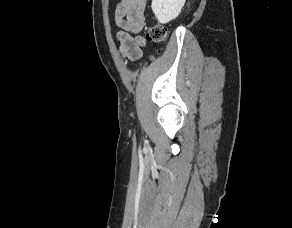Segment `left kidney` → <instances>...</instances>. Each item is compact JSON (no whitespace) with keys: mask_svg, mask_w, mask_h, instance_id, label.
<instances>
[{"mask_svg":"<svg viewBox=\"0 0 292 228\" xmlns=\"http://www.w3.org/2000/svg\"><path fill=\"white\" fill-rule=\"evenodd\" d=\"M186 0H152V10L162 24L174 20L181 12Z\"/></svg>","mask_w":292,"mask_h":228,"instance_id":"1","label":"left kidney"}]
</instances>
